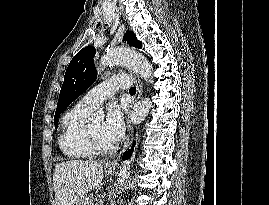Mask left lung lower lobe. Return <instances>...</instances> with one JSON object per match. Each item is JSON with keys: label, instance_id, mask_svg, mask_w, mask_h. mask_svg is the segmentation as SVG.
Here are the masks:
<instances>
[{"label": "left lung lower lobe", "instance_id": "0a47b994", "mask_svg": "<svg viewBox=\"0 0 269 205\" xmlns=\"http://www.w3.org/2000/svg\"><path fill=\"white\" fill-rule=\"evenodd\" d=\"M134 145L135 143L133 144L132 148L123 155L122 160L128 159L131 156V152L133 151Z\"/></svg>", "mask_w": 269, "mask_h": 205}]
</instances>
